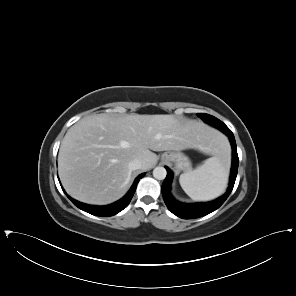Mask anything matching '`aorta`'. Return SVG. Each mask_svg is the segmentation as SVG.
<instances>
[{"mask_svg":"<svg viewBox=\"0 0 296 296\" xmlns=\"http://www.w3.org/2000/svg\"><path fill=\"white\" fill-rule=\"evenodd\" d=\"M166 175H167V171H166V169L164 167H156L153 170V176L157 180L165 179Z\"/></svg>","mask_w":296,"mask_h":296,"instance_id":"aorta-1","label":"aorta"}]
</instances>
